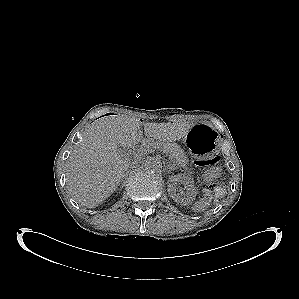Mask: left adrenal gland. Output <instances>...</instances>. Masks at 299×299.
I'll use <instances>...</instances> for the list:
<instances>
[{"mask_svg":"<svg viewBox=\"0 0 299 299\" xmlns=\"http://www.w3.org/2000/svg\"><path fill=\"white\" fill-rule=\"evenodd\" d=\"M167 168L169 169V171L171 170H175L176 168L170 164H167Z\"/></svg>","mask_w":299,"mask_h":299,"instance_id":"obj_1","label":"left adrenal gland"}]
</instances>
